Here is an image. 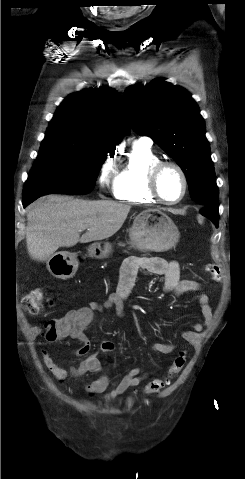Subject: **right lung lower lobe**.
Returning a JSON list of instances; mask_svg holds the SVG:
<instances>
[{
	"instance_id": "98d812e1",
	"label": "right lung lower lobe",
	"mask_w": 245,
	"mask_h": 479,
	"mask_svg": "<svg viewBox=\"0 0 245 479\" xmlns=\"http://www.w3.org/2000/svg\"><path fill=\"white\" fill-rule=\"evenodd\" d=\"M40 196H42V195H34V196H29V197L23 198V207L28 206L31 202H33L34 200H36Z\"/></svg>"
}]
</instances>
